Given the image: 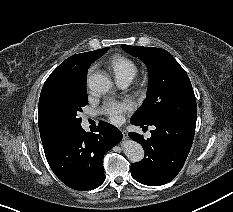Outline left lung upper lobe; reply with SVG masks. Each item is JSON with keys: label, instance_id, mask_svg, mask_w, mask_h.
<instances>
[{"label": "left lung upper lobe", "instance_id": "left-lung-upper-lobe-1", "mask_svg": "<svg viewBox=\"0 0 233 212\" xmlns=\"http://www.w3.org/2000/svg\"><path fill=\"white\" fill-rule=\"evenodd\" d=\"M148 67L147 98L131 120L149 125L161 117L196 121L197 106L186 71L164 49L121 45Z\"/></svg>", "mask_w": 233, "mask_h": 212}]
</instances>
